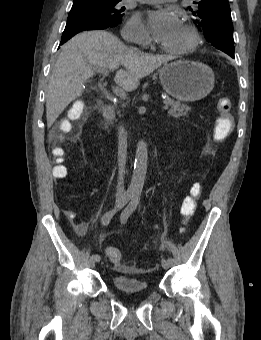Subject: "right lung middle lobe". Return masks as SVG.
Returning <instances> with one entry per match:
<instances>
[{"label":"right lung middle lobe","mask_w":261,"mask_h":340,"mask_svg":"<svg viewBox=\"0 0 261 340\" xmlns=\"http://www.w3.org/2000/svg\"><path fill=\"white\" fill-rule=\"evenodd\" d=\"M121 0H88L74 2L69 15L88 14L96 17L101 22H107L109 26L115 27L122 22L124 7H120Z\"/></svg>","instance_id":"obj_1"}]
</instances>
